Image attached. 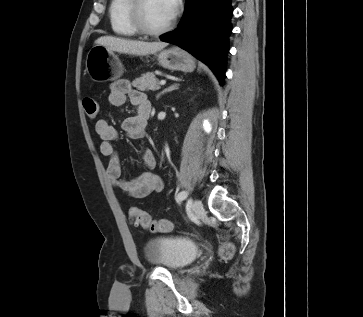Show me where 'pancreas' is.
I'll return each instance as SVG.
<instances>
[{"instance_id":"pancreas-1","label":"pancreas","mask_w":363,"mask_h":317,"mask_svg":"<svg viewBox=\"0 0 363 317\" xmlns=\"http://www.w3.org/2000/svg\"><path fill=\"white\" fill-rule=\"evenodd\" d=\"M133 87L137 88L141 91H148V90H158L160 88L159 86V80L155 77L154 73L148 72L146 74H143L141 77L136 78L132 82Z\"/></svg>"}]
</instances>
